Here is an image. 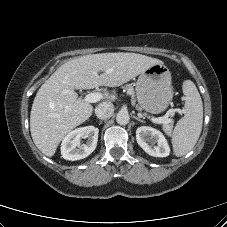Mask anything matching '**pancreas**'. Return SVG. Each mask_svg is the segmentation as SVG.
Returning a JSON list of instances; mask_svg holds the SVG:
<instances>
[{
    "instance_id": "pancreas-1",
    "label": "pancreas",
    "mask_w": 227,
    "mask_h": 227,
    "mask_svg": "<svg viewBox=\"0 0 227 227\" xmlns=\"http://www.w3.org/2000/svg\"><path fill=\"white\" fill-rule=\"evenodd\" d=\"M124 89L129 92L131 95L134 94V88L131 84L124 86ZM173 129V120L169 123L163 124V130L166 132L167 135H170Z\"/></svg>"
}]
</instances>
